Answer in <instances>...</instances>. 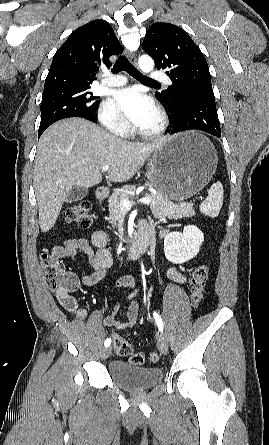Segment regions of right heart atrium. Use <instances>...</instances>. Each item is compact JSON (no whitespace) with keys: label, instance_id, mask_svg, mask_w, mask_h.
<instances>
[{"label":"right heart atrium","instance_id":"right-heart-atrium-1","mask_svg":"<svg viewBox=\"0 0 269 445\" xmlns=\"http://www.w3.org/2000/svg\"><path fill=\"white\" fill-rule=\"evenodd\" d=\"M98 119L102 126L112 134L126 136L130 132V124L111 100H105L101 104Z\"/></svg>","mask_w":269,"mask_h":445}]
</instances>
